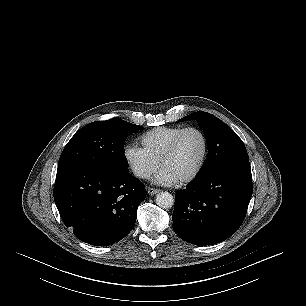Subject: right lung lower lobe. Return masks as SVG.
<instances>
[{"mask_svg": "<svg viewBox=\"0 0 306 306\" xmlns=\"http://www.w3.org/2000/svg\"><path fill=\"white\" fill-rule=\"evenodd\" d=\"M144 187L127 169L84 167L57 177L53 193L64 224L78 239L107 246L133 229Z\"/></svg>", "mask_w": 306, "mask_h": 306, "instance_id": "98d812e1", "label": "right lung lower lobe"}]
</instances>
